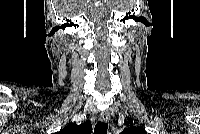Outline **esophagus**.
<instances>
[{"label":"esophagus","mask_w":200,"mask_h":134,"mask_svg":"<svg viewBox=\"0 0 200 134\" xmlns=\"http://www.w3.org/2000/svg\"><path fill=\"white\" fill-rule=\"evenodd\" d=\"M110 119V113L108 111H103L100 114V120L104 123L108 122Z\"/></svg>","instance_id":"obj_1"}]
</instances>
